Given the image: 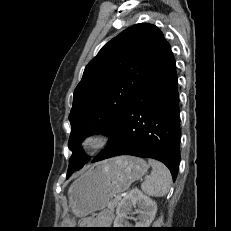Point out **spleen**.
Masks as SVG:
<instances>
[{"label": "spleen", "mask_w": 231, "mask_h": 231, "mask_svg": "<svg viewBox=\"0 0 231 231\" xmlns=\"http://www.w3.org/2000/svg\"><path fill=\"white\" fill-rule=\"evenodd\" d=\"M148 162L152 166V172L141 184V189L149 196L163 197L171 186V173L161 162L153 159H149Z\"/></svg>", "instance_id": "1"}]
</instances>
